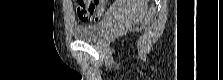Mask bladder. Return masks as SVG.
I'll list each match as a JSON object with an SVG mask.
<instances>
[{
    "instance_id": "obj_1",
    "label": "bladder",
    "mask_w": 223,
    "mask_h": 80,
    "mask_svg": "<svg viewBox=\"0 0 223 80\" xmlns=\"http://www.w3.org/2000/svg\"><path fill=\"white\" fill-rule=\"evenodd\" d=\"M108 20L109 17H105L95 24L77 25L73 28L72 35L76 40L97 41L102 36Z\"/></svg>"
}]
</instances>
